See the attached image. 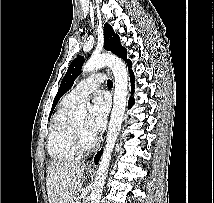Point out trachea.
Instances as JSON below:
<instances>
[{
  "instance_id": "3493384b",
  "label": "trachea",
  "mask_w": 214,
  "mask_h": 203,
  "mask_svg": "<svg viewBox=\"0 0 214 203\" xmlns=\"http://www.w3.org/2000/svg\"><path fill=\"white\" fill-rule=\"evenodd\" d=\"M107 86H108V87H112V86H113V83H112L111 80H108V81H107Z\"/></svg>"
}]
</instances>
